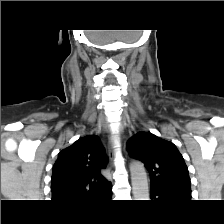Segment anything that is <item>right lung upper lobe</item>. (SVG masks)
Segmentation results:
<instances>
[{"label":"right lung upper lobe","mask_w":224,"mask_h":224,"mask_svg":"<svg viewBox=\"0 0 224 224\" xmlns=\"http://www.w3.org/2000/svg\"><path fill=\"white\" fill-rule=\"evenodd\" d=\"M107 156L97 136H85L63 149L53 166L52 200L74 205L111 194L112 184L100 170Z\"/></svg>","instance_id":"right-lung-upper-lobe-1"}]
</instances>
